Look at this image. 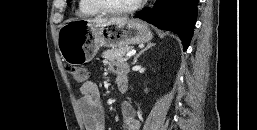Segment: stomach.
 I'll return each mask as SVG.
<instances>
[{"label": "stomach", "instance_id": "obj_1", "mask_svg": "<svg viewBox=\"0 0 257 130\" xmlns=\"http://www.w3.org/2000/svg\"><path fill=\"white\" fill-rule=\"evenodd\" d=\"M151 38L147 26L136 19L98 25L72 19L59 29L58 49L66 63L75 65L91 61L102 46L123 47L146 43Z\"/></svg>", "mask_w": 257, "mask_h": 130}]
</instances>
